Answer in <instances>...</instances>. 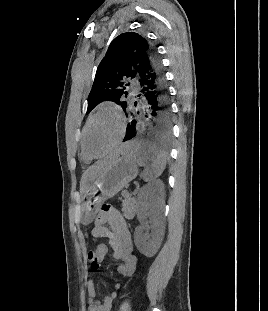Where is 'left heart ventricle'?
<instances>
[{"label":"left heart ventricle","instance_id":"b2bd125f","mask_svg":"<svg viewBox=\"0 0 268 311\" xmlns=\"http://www.w3.org/2000/svg\"><path fill=\"white\" fill-rule=\"evenodd\" d=\"M118 121L110 113H104L93 120L86 134V147L90 153L99 155L105 152L118 135Z\"/></svg>","mask_w":268,"mask_h":311}]
</instances>
